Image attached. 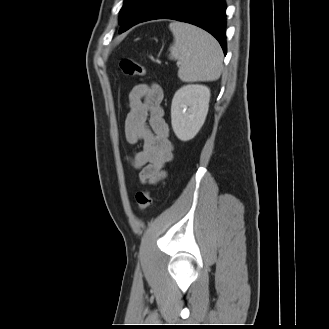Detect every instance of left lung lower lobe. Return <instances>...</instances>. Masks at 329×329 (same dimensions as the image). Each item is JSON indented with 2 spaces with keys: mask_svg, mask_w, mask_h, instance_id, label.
Returning a JSON list of instances; mask_svg holds the SVG:
<instances>
[{
  "mask_svg": "<svg viewBox=\"0 0 329 329\" xmlns=\"http://www.w3.org/2000/svg\"><path fill=\"white\" fill-rule=\"evenodd\" d=\"M226 4L224 0H149L121 31L155 19H173L196 25L212 34L226 54Z\"/></svg>",
  "mask_w": 329,
  "mask_h": 329,
  "instance_id": "left-lung-lower-lobe-1",
  "label": "left lung lower lobe"
}]
</instances>
